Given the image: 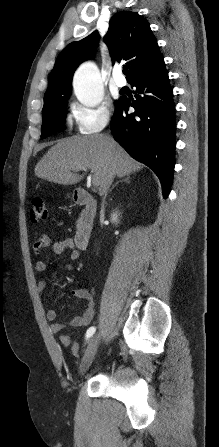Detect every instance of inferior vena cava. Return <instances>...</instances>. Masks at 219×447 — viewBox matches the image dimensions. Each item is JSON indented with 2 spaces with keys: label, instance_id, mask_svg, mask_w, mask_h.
I'll return each instance as SVG.
<instances>
[{
  "label": "inferior vena cava",
  "instance_id": "obj_1",
  "mask_svg": "<svg viewBox=\"0 0 219 447\" xmlns=\"http://www.w3.org/2000/svg\"><path fill=\"white\" fill-rule=\"evenodd\" d=\"M110 182L112 181V178L109 180ZM105 193H106V191H105Z\"/></svg>",
  "mask_w": 219,
  "mask_h": 447
}]
</instances>
